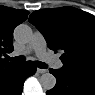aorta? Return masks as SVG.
<instances>
[{"label": "aorta", "instance_id": "aorta-1", "mask_svg": "<svg viewBox=\"0 0 95 95\" xmlns=\"http://www.w3.org/2000/svg\"><path fill=\"white\" fill-rule=\"evenodd\" d=\"M32 29L26 24H20L15 28V38L23 43H26L32 38ZM40 84L44 90H51L56 85V78L51 73H44L40 77Z\"/></svg>", "mask_w": 95, "mask_h": 95}]
</instances>
